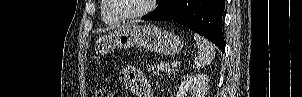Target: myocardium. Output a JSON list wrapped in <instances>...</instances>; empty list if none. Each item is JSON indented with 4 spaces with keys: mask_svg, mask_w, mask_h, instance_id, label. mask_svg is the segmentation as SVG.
<instances>
[{
    "mask_svg": "<svg viewBox=\"0 0 302 97\" xmlns=\"http://www.w3.org/2000/svg\"><path fill=\"white\" fill-rule=\"evenodd\" d=\"M106 2L108 4L111 14L118 20L124 22V21H131V20L139 19V18L146 16L148 13H150L153 10L154 4L156 1L147 0V5L142 10H140L139 12H136L134 14H131V15H122L119 12H117V10L115 9L113 0H106Z\"/></svg>",
    "mask_w": 302,
    "mask_h": 97,
    "instance_id": "f54148a6",
    "label": "myocardium"
}]
</instances>
